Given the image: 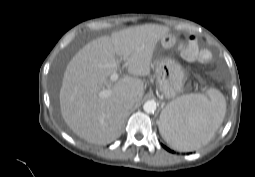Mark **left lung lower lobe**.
Instances as JSON below:
<instances>
[{
  "mask_svg": "<svg viewBox=\"0 0 255 177\" xmlns=\"http://www.w3.org/2000/svg\"><path fill=\"white\" fill-rule=\"evenodd\" d=\"M167 151H169V152H174V151H172V150H170L168 147H166V146H163Z\"/></svg>",
  "mask_w": 255,
  "mask_h": 177,
  "instance_id": "left-lung-lower-lobe-1",
  "label": "left lung lower lobe"
}]
</instances>
